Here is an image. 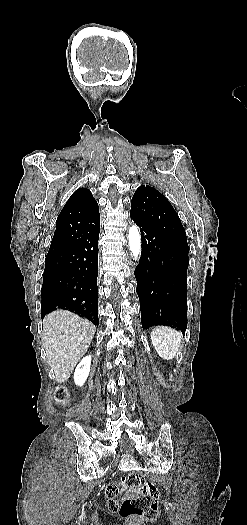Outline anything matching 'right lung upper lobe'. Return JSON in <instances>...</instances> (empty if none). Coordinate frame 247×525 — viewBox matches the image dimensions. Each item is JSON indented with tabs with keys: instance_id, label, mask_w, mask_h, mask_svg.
<instances>
[{
	"instance_id": "cb5924a9",
	"label": "right lung upper lobe",
	"mask_w": 247,
	"mask_h": 525,
	"mask_svg": "<svg viewBox=\"0 0 247 525\" xmlns=\"http://www.w3.org/2000/svg\"><path fill=\"white\" fill-rule=\"evenodd\" d=\"M99 227V208L92 193L86 188L76 190L57 218L48 254L68 247Z\"/></svg>"
}]
</instances>
